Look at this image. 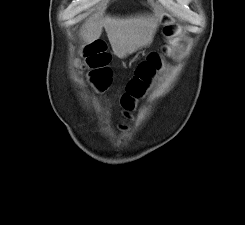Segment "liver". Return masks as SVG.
Here are the masks:
<instances>
[{
  "label": "liver",
  "mask_w": 245,
  "mask_h": 225,
  "mask_svg": "<svg viewBox=\"0 0 245 225\" xmlns=\"http://www.w3.org/2000/svg\"><path fill=\"white\" fill-rule=\"evenodd\" d=\"M104 27L113 52L124 58L141 47L148 46L157 28V22L150 15H138L127 18L98 15L91 16L84 24L81 37L85 43H91L101 36Z\"/></svg>",
  "instance_id": "6515ba94"
}]
</instances>
